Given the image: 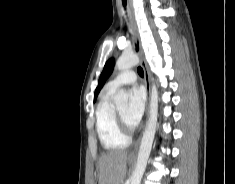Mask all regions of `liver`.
I'll list each match as a JSON object with an SVG mask.
<instances>
[{
  "instance_id": "1",
  "label": "liver",
  "mask_w": 235,
  "mask_h": 184,
  "mask_svg": "<svg viewBox=\"0 0 235 184\" xmlns=\"http://www.w3.org/2000/svg\"><path fill=\"white\" fill-rule=\"evenodd\" d=\"M127 160L128 154L122 150L101 154L99 184H121L126 178Z\"/></svg>"
}]
</instances>
